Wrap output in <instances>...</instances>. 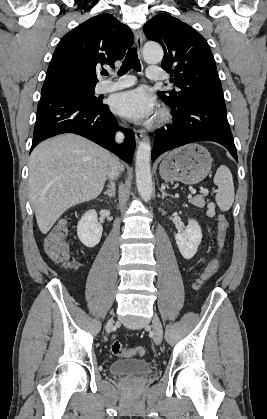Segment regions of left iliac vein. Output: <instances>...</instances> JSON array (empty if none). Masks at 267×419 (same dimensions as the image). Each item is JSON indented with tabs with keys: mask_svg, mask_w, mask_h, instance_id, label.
Returning a JSON list of instances; mask_svg holds the SVG:
<instances>
[{
	"mask_svg": "<svg viewBox=\"0 0 267 419\" xmlns=\"http://www.w3.org/2000/svg\"><path fill=\"white\" fill-rule=\"evenodd\" d=\"M153 339L156 344H160L163 336V328L159 317L154 314L152 319Z\"/></svg>",
	"mask_w": 267,
	"mask_h": 419,
	"instance_id": "1",
	"label": "left iliac vein"
}]
</instances>
